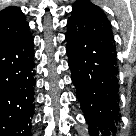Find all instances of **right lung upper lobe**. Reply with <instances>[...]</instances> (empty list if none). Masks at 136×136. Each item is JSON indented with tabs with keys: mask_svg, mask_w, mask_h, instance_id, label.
I'll return each instance as SVG.
<instances>
[{
	"mask_svg": "<svg viewBox=\"0 0 136 136\" xmlns=\"http://www.w3.org/2000/svg\"><path fill=\"white\" fill-rule=\"evenodd\" d=\"M29 33L28 22L18 7L0 11V45L25 38Z\"/></svg>",
	"mask_w": 136,
	"mask_h": 136,
	"instance_id": "obj_1",
	"label": "right lung upper lobe"
}]
</instances>
